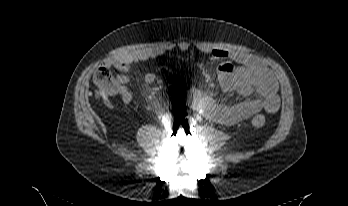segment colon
Masks as SVG:
<instances>
[{
	"instance_id": "1",
	"label": "colon",
	"mask_w": 348,
	"mask_h": 206,
	"mask_svg": "<svg viewBox=\"0 0 348 206\" xmlns=\"http://www.w3.org/2000/svg\"><path fill=\"white\" fill-rule=\"evenodd\" d=\"M94 81L99 91L105 95H112L119 89L120 75H114L108 66H102L95 72ZM265 123L266 117L263 114H256L251 119L254 128H261Z\"/></svg>"
}]
</instances>
